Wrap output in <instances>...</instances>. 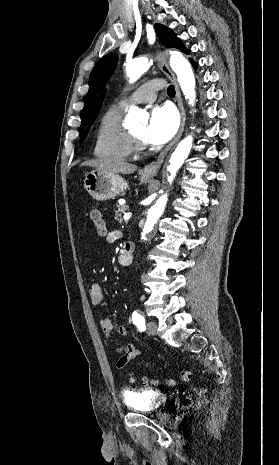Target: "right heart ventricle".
I'll return each mask as SVG.
<instances>
[{
	"mask_svg": "<svg viewBox=\"0 0 279 465\" xmlns=\"http://www.w3.org/2000/svg\"><path fill=\"white\" fill-rule=\"evenodd\" d=\"M125 107L112 105L102 116L94 146V155L107 160H124L132 154L129 131L123 125Z\"/></svg>",
	"mask_w": 279,
	"mask_h": 465,
	"instance_id": "e07e8e85",
	"label": "right heart ventricle"
}]
</instances>
